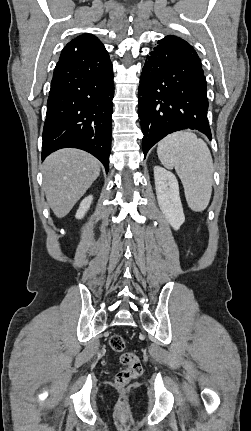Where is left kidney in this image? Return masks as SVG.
<instances>
[{"label": "left kidney", "mask_w": 251, "mask_h": 431, "mask_svg": "<svg viewBox=\"0 0 251 431\" xmlns=\"http://www.w3.org/2000/svg\"><path fill=\"white\" fill-rule=\"evenodd\" d=\"M154 179L159 207L173 229L178 230L185 221L178 181L173 173L160 166L154 167Z\"/></svg>", "instance_id": "obj_1"}]
</instances>
